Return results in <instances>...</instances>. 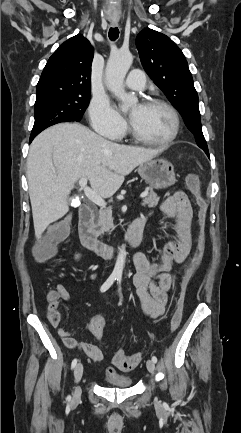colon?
<instances>
[{
    "instance_id": "colon-1",
    "label": "colon",
    "mask_w": 241,
    "mask_h": 433,
    "mask_svg": "<svg viewBox=\"0 0 241 433\" xmlns=\"http://www.w3.org/2000/svg\"><path fill=\"white\" fill-rule=\"evenodd\" d=\"M188 182L195 195L196 203L199 207L198 219L200 223L201 234L199 238V245H198L197 252L195 253L194 257L191 259L189 264L186 266L182 275L176 309L172 315L171 323H170V327L172 331L176 330L182 321L188 287L194 274L196 273V271L199 269L201 265V261L206 246V241L204 236L205 221H206V216H205L206 202L201 195L200 183L197 176L193 174L190 175L188 177ZM63 233H64V224H60L59 226L53 228L46 237L40 240L38 245L35 248L36 258L39 260H44L47 257H49L53 252V250L55 249V247L60 242ZM142 358H143L142 353L127 355L122 350H118L114 354L113 363L118 369L123 371H129L134 369L136 366H138ZM114 372L115 371L111 369L109 373L112 374Z\"/></svg>"
}]
</instances>
